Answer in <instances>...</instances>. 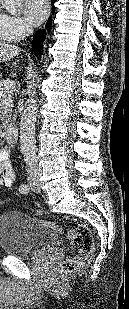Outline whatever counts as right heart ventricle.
<instances>
[{"label":"right heart ventricle","mask_w":129,"mask_h":309,"mask_svg":"<svg viewBox=\"0 0 129 309\" xmlns=\"http://www.w3.org/2000/svg\"><path fill=\"white\" fill-rule=\"evenodd\" d=\"M10 41L2 25V13H0V42Z\"/></svg>","instance_id":"e07e8e85"}]
</instances>
